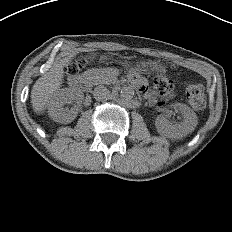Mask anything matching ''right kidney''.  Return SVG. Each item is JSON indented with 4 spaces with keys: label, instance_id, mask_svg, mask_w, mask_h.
<instances>
[{
    "label": "right kidney",
    "instance_id": "1",
    "mask_svg": "<svg viewBox=\"0 0 232 232\" xmlns=\"http://www.w3.org/2000/svg\"><path fill=\"white\" fill-rule=\"evenodd\" d=\"M75 99V91L71 88H62L55 92L48 103L49 116L58 123L67 124L77 116L78 109L64 108V105Z\"/></svg>",
    "mask_w": 232,
    "mask_h": 232
}]
</instances>
